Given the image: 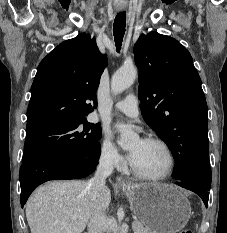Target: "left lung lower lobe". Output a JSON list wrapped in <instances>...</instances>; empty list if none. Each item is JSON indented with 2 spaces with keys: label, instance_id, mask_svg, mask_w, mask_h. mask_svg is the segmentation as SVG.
Listing matches in <instances>:
<instances>
[{
  "label": "left lung lower lobe",
  "instance_id": "obj_1",
  "mask_svg": "<svg viewBox=\"0 0 227 233\" xmlns=\"http://www.w3.org/2000/svg\"><path fill=\"white\" fill-rule=\"evenodd\" d=\"M180 186L189 189L195 193H197L202 200L204 201L205 205H208V199H209V190L210 189H206L204 187H202L201 185L197 184V183H192V182H179L178 183Z\"/></svg>",
  "mask_w": 227,
  "mask_h": 233
}]
</instances>
